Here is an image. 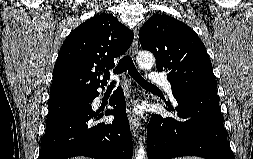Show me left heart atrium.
<instances>
[{"label": "left heart atrium", "instance_id": "39dd6f15", "mask_svg": "<svg viewBox=\"0 0 253 159\" xmlns=\"http://www.w3.org/2000/svg\"><path fill=\"white\" fill-rule=\"evenodd\" d=\"M132 112L140 113V112H141V109H140L139 106H134V108H132Z\"/></svg>", "mask_w": 253, "mask_h": 159}]
</instances>
